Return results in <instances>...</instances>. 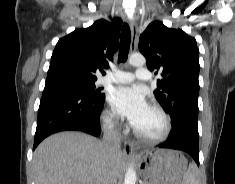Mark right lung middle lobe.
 I'll return each instance as SVG.
<instances>
[{"label": "right lung middle lobe", "mask_w": 235, "mask_h": 184, "mask_svg": "<svg viewBox=\"0 0 235 184\" xmlns=\"http://www.w3.org/2000/svg\"><path fill=\"white\" fill-rule=\"evenodd\" d=\"M62 83L67 86L77 88L81 92L90 95L95 99L100 100L105 98V94L102 93V88L96 89L94 81L82 80L73 77H66L62 79Z\"/></svg>", "instance_id": "dd1d6c3e"}]
</instances>
